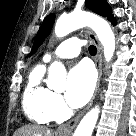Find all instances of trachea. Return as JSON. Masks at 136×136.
<instances>
[{
	"label": "trachea",
	"instance_id": "trachea-1",
	"mask_svg": "<svg viewBox=\"0 0 136 136\" xmlns=\"http://www.w3.org/2000/svg\"><path fill=\"white\" fill-rule=\"evenodd\" d=\"M89 52H90L91 55H95L96 52H97L96 47L93 46V45H91V46L89 47Z\"/></svg>",
	"mask_w": 136,
	"mask_h": 136
}]
</instances>
